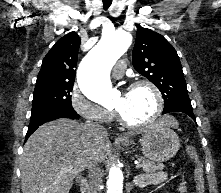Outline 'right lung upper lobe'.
<instances>
[{
    "mask_svg": "<svg viewBox=\"0 0 221 193\" xmlns=\"http://www.w3.org/2000/svg\"><path fill=\"white\" fill-rule=\"evenodd\" d=\"M79 46L76 32L59 39L43 59L36 85L74 83Z\"/></svg>",
    "mask_w": 221,
    "mask_h": 193,
    "instance_id": "cb5924a9",
    "label": "right lung upper lobe"
}]
</instances>
